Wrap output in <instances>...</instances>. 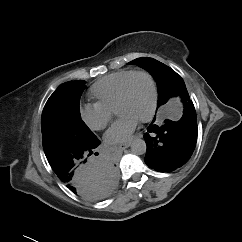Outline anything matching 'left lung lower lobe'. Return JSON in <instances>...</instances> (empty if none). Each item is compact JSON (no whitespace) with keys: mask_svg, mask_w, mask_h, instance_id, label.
I'll use <instances>...</instances> for the list:
<instances>
[{"mask_svg":"<svg viewBox=\"0 0 242 242\" xmlns=\"http://www.w3.org/2000/svg\"><path fill=\"white\" fill-rule=\"evenodd\" d=\"M183 115L180 120L153 122L148 127L145 163L158 172H172L181 168L191 157L197 142L196 111L189 95H181Z\"/></svg>","mask_w":242,"mask_h":242,"instance_id":"0a47b994","label":"left lung lower lobe"}]
</instances>
